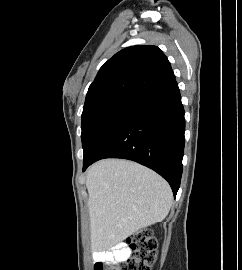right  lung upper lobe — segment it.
<instances>
[{"mask_svg":"<svg viewBox=\"0 0 242 270\" xmlns=\"http://www.w3.org/2000/svg\"><path fill=\"white\" fill-rule=\"evenodd\" d=\"M174 81L171 65L158 47H128L102 65L88 89L83 111L114 101L137 104Z\"/></svg>","mask_w":242,"mask_h":270,"instance_id":"obj_1","label":"right lung upper lobe"}]
</instances>
